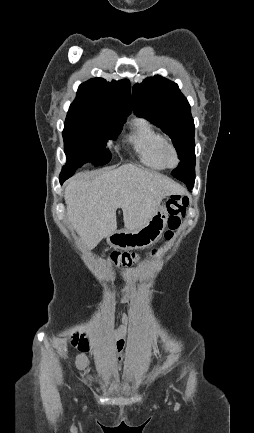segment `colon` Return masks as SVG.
Here are the masks:
<instances>
[{
    "mask_svg": "<svg viewBox=\"0 0 254 433\" xmlns=\"http://www.w3.org/2000/svg\"><path fill=\"white\" fill-rule=\"evenodd\" d=\"M188 206V198L183 195L173 194L167 201V209L169 213L168 217V231L166 232V239L170 240L175 230H177L182 224L186 208ZM159 253L158 249H153L149 252V257H157ZM110 262L120 267H132L138 264L141 260V256L135 252H112L109 256ZM80 350L85 351L87 346L83 342H75Z\"/></svg>",
    "mask_w": 254,
    "mask_h": 433,
    "instance_id": "1",
    "label": "colon"
}]
</instances>
